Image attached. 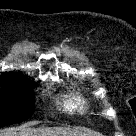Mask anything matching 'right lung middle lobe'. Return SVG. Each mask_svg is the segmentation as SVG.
Returning <instances> with one entry per match:
<instances>
[{"label": "right lung middle lobe", "instance_id": "right-lung-middle-lobe-1", "mask_svg": "<svg viewBox=\"0 0 136 136\" xmlns=\"http://www.w3.org/2000/svg\"><path fill=\"white\" fill-rule=\"evenodd\" d=\"M0 84V128L28 119L34 113L36 83L16 79Z\"/></svg>", "mask_w": 136, "mask_h": 136}]
</instances>
